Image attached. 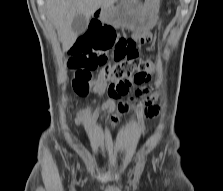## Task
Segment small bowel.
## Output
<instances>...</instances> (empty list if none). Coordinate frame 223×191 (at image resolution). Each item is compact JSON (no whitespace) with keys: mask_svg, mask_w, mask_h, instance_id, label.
Returning <instances> with one entry per match:
<instances>
[{"mask_svg":"<svg viewBox=\"0 0 223 191\" xmlns=\"http://www.w3.org/2000/svg\"><path fill=\"white\" fill-rule=\"evenodd\" d=\"M100 23L95 24V27H99ZM151 38V33L147 32L142 35L141 40L143 42L149 41ZM131 81L125 83H114L108 86L104 84H97L95 87L98 95H102L105 91L109 95V99L104 100L101 103L100 111L102 113L103 119L108 116V121L110 125H115L118 120V113H126L130 110L131 105L139 108L142 115L148 117L155 113L156 108L152 105L153 101L151 98L139 99L142 95L153 90L154 85H149L144 89L137 90L134 96L129 97L128 102H116V99H120L130 95ZM96 102V101H94ZM87 116V112L82 111L79 113L77 122L81 123L83 119Z\"/></svg>","mask_w":223,"mask_h":191,"instance_id":"1","label":"small bowel"}]
</instances>
